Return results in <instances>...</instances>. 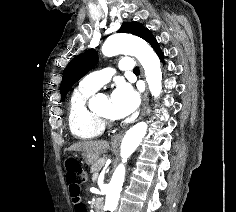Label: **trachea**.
I'll list each match as a JSON object with an SVG mask.
<instances>
[{"mask_svg":"<svg viewBox=\"0 0 236 212\" xmlns=\"http://www.w3.org/2000/svg\"><path fill=\"white\" fill-rule=\"evenodd\" d=\"M133 72H134V73H140L139 67H135V68L133 69Z\"/></svg>","mask_w":236,"mask_h":212,"instance_id":"obj_1","label":"trachea"}]
</instances>
